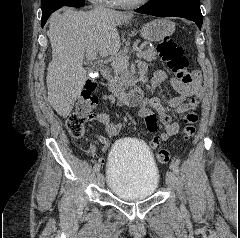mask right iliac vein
Segmentation results:
<instances>
[{
  "instance_id": "1",
  "label": "right iliac vein",
  "mask_w": 240,
  "mask_h": 238,
  "mask_svg": "<svg viewBox=\"0 0 240 238\" xmlns=\"http://www.w3.org/2000/svg\"><path fill=\"white\" fill-rule=\"evenodd\" d=\"M97 184L101 187L104 185V176L102 173L97 174Z\"/></svg>"
}]
</instances>
